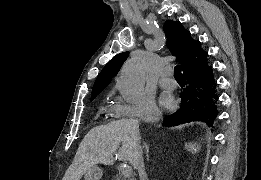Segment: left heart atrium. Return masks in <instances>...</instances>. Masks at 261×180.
I'll return each mask as SVG.
<instances>
[{
  "label": "left heart atrium",
  "mask_w": 261,
  "mask_h": 180,
  "mask_svg": "<svg viewBox=\"0 0 261 180\" xmlns=\"http://www.w3.org/2000/svg\"><path fill=\"white\" fill-rule=\"evenodd\" d=\"M161 104L165 107L170 106L171 104V98L167 94H163L161 96Z\"/></svg>",
  "instance_id": "39dd6f15"
}]
</instances>
